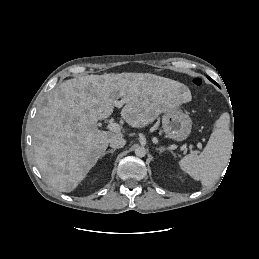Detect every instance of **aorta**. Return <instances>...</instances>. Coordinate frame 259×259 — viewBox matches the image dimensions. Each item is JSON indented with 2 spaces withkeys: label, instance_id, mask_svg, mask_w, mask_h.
<instances>
[{
  "label": "aorta",
  "instance_id": "1",
  "mask_svg": "<svg viewBox=\"0 0 259 259\" xmlns=\"http://www.w3.org/2000/svg\"><path fill=\"white\" fill-rule=\"evenodd\" d=\"M135 155L137 157H144L146 155V149L142 146H138L136 149H135Z\"/></svg>",
  "mask_w": 259,
  "mask_h": 259
}]
</instances>
